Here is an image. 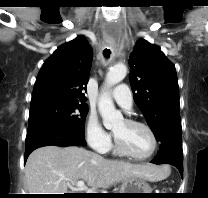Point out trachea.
<instances>
[{"label": "trachea", "mask_w": 208, "mask_h": 198, "mask_svg": "<svg viewBox=\"0 0 208 198\" xmlns=\"http://www.w3.org/2000/svg\"><path fill=\"white\" fill-rule=\"evenodd\" d=\"M110 54H111V52L109 50H106V49L104 50V56L106 58H109Z\"/></svg>", "instance_id": "trachea-1"}]
</instances>
